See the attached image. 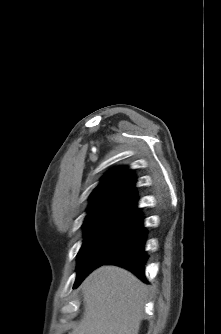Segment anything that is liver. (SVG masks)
Returning a JSON list of instances; mask_svg holds the SVG:
<instances>
[{
  "instance_id": "6515ba94",
  "label": "liver",
  "mask_w": 221,
  "mask_h": 334,
  "mask_svg": "<svg viewBox=\"0 0 221 334\" xmlns=\"http://www.w3.org/2000/svg\"><path fill=\"white\" fill-rule=\"evenodd\" d=\"M82 290L84 314L70 334H138L148 287L131 272L101 266Z\"/></svg>"
}]
</instances>
